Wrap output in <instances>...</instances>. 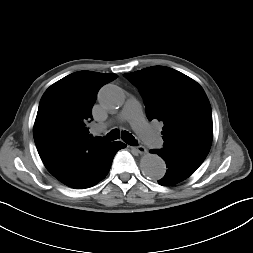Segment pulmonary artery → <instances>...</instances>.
<instances>
[{"instance_id":"1","label":"pulmonary artery","mask_w":253,"mask_h":253,"mask_svg":"<svg viewBox=\"0 0 253 253\" xmlns=\"http://www.w3.org/2000/svg\"><path fill=\"white\" fill-rule=\"evenodd\" d=\"M120 117L131 122V124L138 129L143 141L154 148L161 146L162 140L159 135L154 132L143 120L142 110L139 102L135 99H129Z\"/></svg>"}]
</instances>
